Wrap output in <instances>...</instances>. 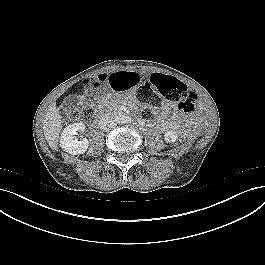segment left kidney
<instances>
[{"mask_svg": "<svg viewBox=\"0 0 265 265\" xmlns=\"http://www.w3.org/2000/svg\"><path fill=\"white\" fill-rule=\"evenodd\" d=\"M164 139L169 143L175 142L177 140V135L173 131H168L164 134Z\"/></svg>", "mask_w": 265, "mask_h": 265, "instance_id": "5707ae66", "label": "left kidney"}]
</instances>
